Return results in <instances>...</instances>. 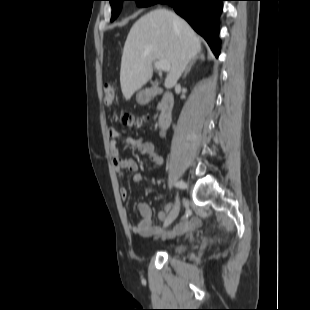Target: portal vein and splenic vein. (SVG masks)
Here are the masks:
<instances>
[{
    "mask_svg": "<svg viewBox=\"0 0 310 310\" xmlns=\"http://www.w3.org/2000/svg\"><path fill=\"white\" fill-rule=\"evenodd\" d=\"M154 65L160 71H169L170 69V64L167 61H156Z\"/></svg>",
    "mask_w": 310,
    "mask_h": 310,
    "instance_id": "1",
    "label": "portal vein and splenic vein"
}]
</instances>
